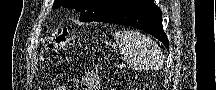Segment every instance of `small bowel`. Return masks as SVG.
<instances>
[{"label": "small bowel", "instance_id": "c3829d8e", "mask_svg": "<svg viewBox=\"0 0 216 90\" xmlns=\"http://www.w3.org/2000/svg\"><path fill=\"white\" fill-rule=\"evenodd\" d=\"M100 78L95 72H87L81 81V90H97ZM52 90H69L66 86H57Z\"/></svg>", "mask_w": 216, "mask_h": 90}]
</instances>
